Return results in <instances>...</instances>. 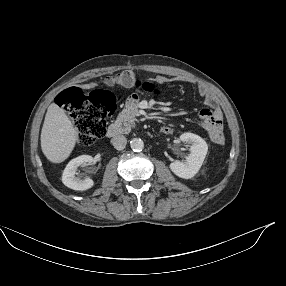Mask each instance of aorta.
<instances>
[{
    "instance_id": "762f6f07",
    "label": "aorta",
    "mask_w": 286,
    "mask_h": 286,
    "mask_svg": "<svg viewBox=\"0 0 286 286\" xmlns=\"http://www.w3.org/2000/svg\"><path fill=\"white\" fill-rule=\"evenodd\" d=\"M130 146L133 151H142L144 148V142L140 138H133L130 141Z\"/></svg>"
}]
</instances>
